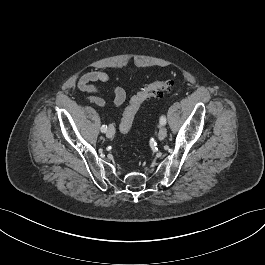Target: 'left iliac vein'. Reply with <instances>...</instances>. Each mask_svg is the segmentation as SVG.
I'll return each instance as SVG.
<instances>
[{
    "mask_svg": "<svg viewBox=\"0 0 265 265\" xmlns=\"http://www.w3.org/2000/svg\"><path fill=\"white\" fill-rule=\"evenodd\" d=\"M167 136V129L165 126H161L158 133V139L160 141L164 140Z\"/></svg>",
    "mask_w": 265,
    "mask_h": 265,
    "instance_id": "obj_1",
    "label": "left iliac vein"
}]
</instances>
